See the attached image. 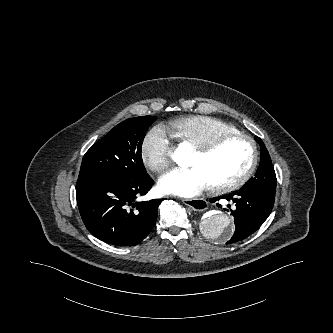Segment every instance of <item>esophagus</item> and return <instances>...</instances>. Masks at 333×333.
Wrapping results in <instances>:
<instances>
[{"label":"esophagus","instance_id":"obj_1","mask_svg":"<svg viewBox=\"0 0 333 333\" xmlns=\"http://www.w3.org/2000/svg\"><path fill=\"white\" fill-rule=\"evenodd\" d=\"M182 202L195 211H204L207 206L206 201L203 199H182Z\"/></svg>","mask_w":333,"mask_h":333}]
</instances>
